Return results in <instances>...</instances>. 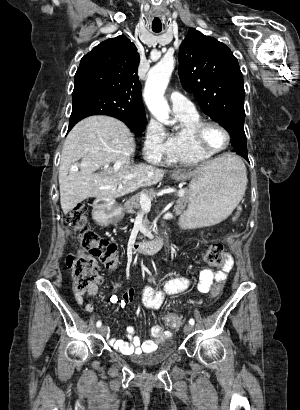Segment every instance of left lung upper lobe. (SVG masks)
I'll use <instances>...</instances> for the list:
<instances>
[{"mask_svg":"<svg viewBox=\"0 0 300 410\" xmlns=\"http://www.w3.org/2000/svg\"><path fill=\"white\" fill-rule=\"evenodd\" d=\"M179 77L201 110L229 132L236 151L248 154L244 81L231 50L191 28L179 49Z\"/></svg>","mask_w":300,"mask_h":410,"instance_id":"obj_1","label":"left lung upper lobe"}]
</instances>
